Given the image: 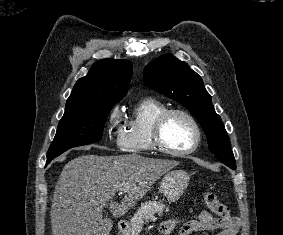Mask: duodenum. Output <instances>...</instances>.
Masks as SVG:
<instances>
[{"instance_id": "obj_1", "label": "duodenum", "mask_w": 283, "mask_h": 235, "mask_svg": "<svg viewBox=\"0 0 283 235\" xmlns=\"http://www.w3.org/2000/svg\"><path fill=\"white\" fill-rule=\"evenodd\" d=\"M117 226L120 230H124L127 227V222L125 220H120L117 223Z\"/></svg>"}]
</instances>
